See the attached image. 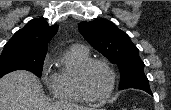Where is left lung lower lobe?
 I'll list each match as a JSON object with an SVG mask.
<instances>
[{
    "label": "left lung lower lobe",
    "instance_id": "0a47b994",
    "mask_svg": "<svg viewBox=\"0 0 171 110\" xmlns=\"http://www.w3.org/2000/svg\"><path fill=\"white\" fill-rule=\"evenodd\" d=\"M149 94H151L152 95V92H151V90H149V91H147Z\"/></svg>",
    "mask_w": 171,
    "mask_h": 110
}]
</instances>
